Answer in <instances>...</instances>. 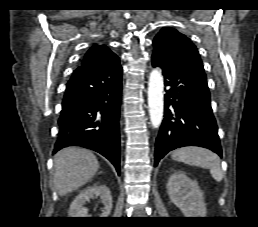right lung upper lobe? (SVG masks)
Here are the masks:
<instances>
[{
  "label": "right lung upper lobe",
  "mask_w": 258,
  "mask_h": 227,
  "mask_svg": "<svg viewBox=\"0 0 258 227\" xmlns=\"http://www.w3.org/2000/svg\"><path fill=\"white\" fill-rule=\"evenodd\" d=\"M111 55H114V53L111 50H109L106 46H104V45H101V46L94 45L86 53L82 63L80 64V66L76 70L81 69V68H85V67L89 66L90 64H92L95 60L107 58Z\"/></svg>",
  "instance_id": "obj_1"
}]
</instances>
